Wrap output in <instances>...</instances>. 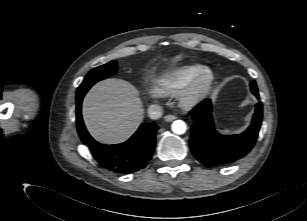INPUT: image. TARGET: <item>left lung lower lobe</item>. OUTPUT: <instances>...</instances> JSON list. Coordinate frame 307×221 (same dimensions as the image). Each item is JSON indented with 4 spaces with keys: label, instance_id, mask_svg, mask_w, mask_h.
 <instances>
[{
    "label": "left lung lower lobe",
    "instance_id": "obj_1",
    "mask_svg": "<svg viewBox=\"0 0 307 221\" xmlns=\"http://www.w3.org/2000/svg\"><path fill=\"white\" fill-rule=\"evenodd\" d=\"M251 92L259 96L255 81ZM262 102L256 104L250 127L242 134L224 136L213 127L211 101L204 100L190 112L194 119L189 141L193 155L207 167L229 164L247 155L255 144L262 122Z\"/></svg>",
    "mask_w": 307,
    "mask_h": 221
}]
</instances>
